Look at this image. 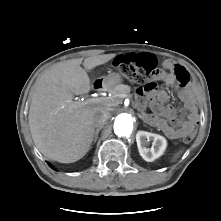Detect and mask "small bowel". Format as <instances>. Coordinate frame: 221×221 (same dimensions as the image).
<instances>
[{
  "label": "small bowel",
  "mask_w": 221,
  "mask_h": 221,
  "mask_svg": "<svg viewBox=\"0 0 221 221\" xmlns=\"http://www.w3.org/2000/svg\"><path fill=\"white\" fill-rule=\"evenodd\" d=\"M142 53H126L119 57L127 56L130 60H134ZM165 71L160 72L159 77L167 82L173 83L177 81H185L186 85L180 88L179 96L182 101L180 108L176 109L168 105V94L162 88H154L151 90H139V99L143 102H148L151 113L149 120L160 128L169 138L177 139L182 137L183 133L193 128L197 121V113L193 109V102L189 93L188 82L189 73L187 69L172 61L165 60L163 62Z\"/></svg>",
  "instance_id": "obj_1"
}]
</instances>
